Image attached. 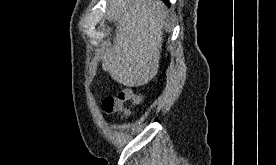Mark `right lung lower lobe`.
<instances>
[{"instance_id": "obj_1", "label": "right lung lower lobe", "mask_w": 276, "mask_h": 165, "mask_svg": "<svg viewBox=\"0 0 276 165\" xmlns=\"http://www.w3.org/2000/svg\"><path fill=\"white\" fill-rule=\"evenodd\" d=\"M164 2H166L168 4V0H163Z\"/></svg>"}]
</instances>
